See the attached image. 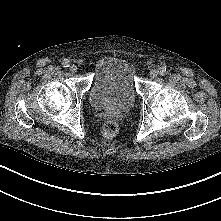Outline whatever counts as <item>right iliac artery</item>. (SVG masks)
Segmentation results:
<instances>
[{
	"label": "right iliac artery",
	"instance_id": "obj_1",
	"mask_svg": "<svg viewBox=\"0 0 221 221\" xmlns=\"http://www.w3.org/2000/svg\"><path fill=\"white\" fill-rule=\"evenodd\" d=\"M62 65H63V67H65V68L69 67V66H70L69 60L64 59V60L62 61Z\"/></svg>",
	"mask_w": 221,
	"mask_h": 221
}]
</instances>
